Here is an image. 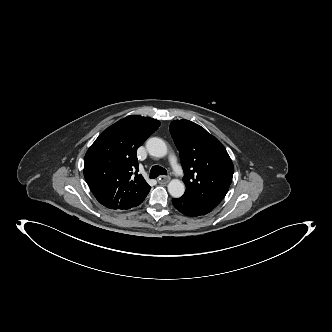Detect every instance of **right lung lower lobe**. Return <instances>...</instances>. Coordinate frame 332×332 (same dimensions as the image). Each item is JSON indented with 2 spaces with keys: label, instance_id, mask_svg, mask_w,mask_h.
<instances>
[{
  "label": "right lung lower lobe",
  "instance_id": "right-lung-lower-lobe-1",
  "mask_svg": "<svg viewBox=\"0 0 332 332\" xmlns=\"http://www.w3.org/2000/svg\"><path fill=\"white\" fill-rule=\"evenodd\" d=\"M141 202H143V200H142ZM141 202H140V203H141ZM140 203H138V204H137V205H135V206H138ZM135 206H134V207H135Z\"/></svg>",
  "mask_w": 332,
  "mask_h": 332
}]
</instances>
